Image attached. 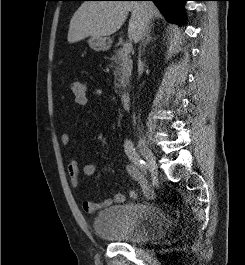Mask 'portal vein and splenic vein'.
<instances>
[{
	"label": "portal vein and splenic vein",
	"mask_w": 245,
	"mask_h": 265,
	"mask_svg": "<svg viewBox=\"0 0 245 265\" xmlns=\"http://www.w3.org/2000/svg\"><path fill=\"white\" fill-rule=\"evenodd\" d=\"M123 51H124L126 54H129V53L132 51V43H131V42H126V43L123 45Z\"/></svg>",
	"instance_id": "portal-vein-and-splenic-vein-1"
}]
</instances>
